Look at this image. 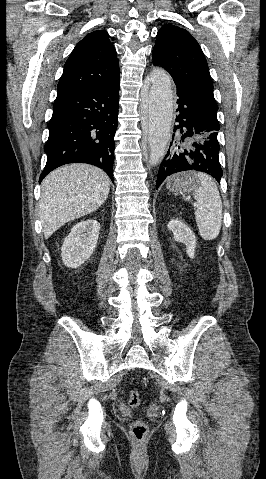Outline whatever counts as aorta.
Here are the masks:
<instances>
[{"instance_id":"1","label":"aorta","mask_w":266,"mask_h":479,"mask_svg":"<svg viewBox=\"0 0 266 479\" xmlns=\"http://www.w3.org/2000/svg\"><path fill=\"white\" fill-rule=\"evenodd\" d=\"M150 89L142 93V119L148 127L150 163L155 166L165 156L173 116V90L170 76L154 68L149 76Z\"/></svg>"}]
</instances>
